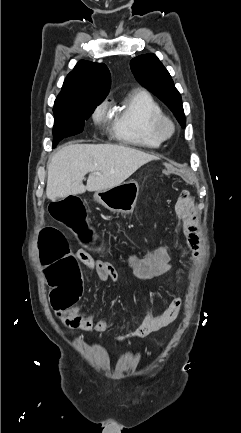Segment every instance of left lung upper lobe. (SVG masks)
Listing matches in <instances>:
<instances>
[{
    "label": "left lung upper lobe",
    "instance_id": "5c2ea615",
    "mask_svg": "<svg viewBox=\"0 0 241 433\" xmlns=\"http://www.w3.org/2000/svg\"><path fill=\"white\" fill-rule=\"evenodd\" d=\"M130 67L137 81L162 100L185 128L181 95L158 57L152 53L140 55L131 60Z\"/></svg>",
    "mask_w": 241,
    "mask_h": 433
}]
</instances>
